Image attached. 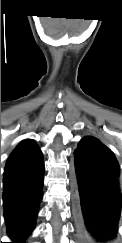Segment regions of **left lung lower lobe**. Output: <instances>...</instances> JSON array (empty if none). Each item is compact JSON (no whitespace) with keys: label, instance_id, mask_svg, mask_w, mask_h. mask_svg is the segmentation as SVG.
<instances>
[{"label":"left lung lower lobe","instance_id":"obj_1","mask_svg":"<svg viewBox=\"0 0 122 243\" xmlns=\"http://www.w3.org/2000/svg\"><path fill=\"white\" fill-rule=\"evenodd\" d=\"M75 163V162H74ZM82 243H115L122 209V180L113 152L99 147L74 164Z\"/></svg>","mask_w":122,"mask_h":243}]
</instances>
